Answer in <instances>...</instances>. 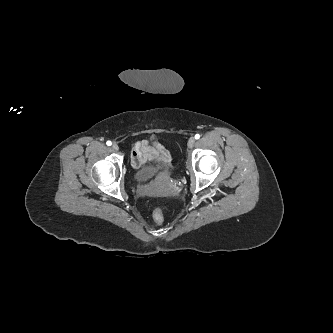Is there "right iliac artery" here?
Masks as SVG:
<instances>
[{"mask_svg":"<svg viewBox=\"0 0 333 333\" xmlns=\"http://www.w3.org/2000/svg\"><path fill=\"white\" fill-rule=\"evenodd\" d=\"M106 144H107L108 146H111L112 142H111V141H107Z\"/></svg>","mask_w":333,"mask_h":333,"instance_id":"82829eb1","label":"right iliac artery"}]
</instances>
